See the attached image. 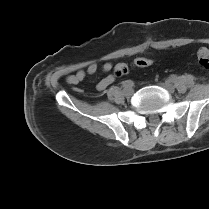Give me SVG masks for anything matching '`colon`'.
Returning a JSON list of instances; mask_svg holds the SVG:
<instances>
[{
    "instance_id": "obj_1",
    "label": "colon",
    "mask_w": 209,
    "mask_h": 209,
    "mask_svg": "<svg viewBox=\"0 0 209 209\" xmlns=\"http://www.w3.org/2000/svg\"><path fill=\"white\" fill-rule=\"evenodd\" d=\"M198 62L206 69H209V49L201 48L198 51ZM153 64V61L148 58H142L136 61V65L139 67H149ZM127 72V66L125 64H118L114 68V74L116 76H122Z\"/></svg>"
}]
</instances>
